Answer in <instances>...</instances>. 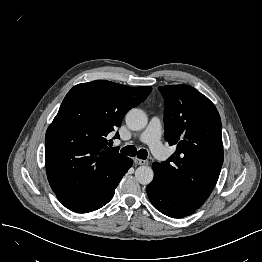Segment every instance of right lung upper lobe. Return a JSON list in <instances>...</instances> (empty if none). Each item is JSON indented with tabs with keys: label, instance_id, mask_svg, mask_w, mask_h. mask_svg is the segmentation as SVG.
Listing matches in <instances>:
<instances>
[{
	"label": "right lung upper lobe",
	"instance_id": "obj_1",
	"mask_svg": "<svg viewBox=\"0 0 262 262\" xmlns=\"http://www.w3.org/2000/svg\"><path fill=\"white\" fill-rule=\"evenodd\" d=\"M151 90L97 80L68 92L45 136L47 177L57 196L101 195L112 188L128 157L107 147V136Z\"/></svg>",
	"mask_w": 262,
	"mask_h": 262
}]
</instances>
